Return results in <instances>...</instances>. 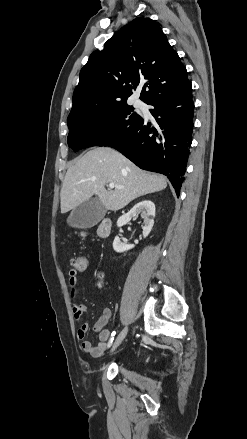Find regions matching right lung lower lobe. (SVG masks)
Here are the masks:
<instances>
[{
  "instance_id": "obj_1",
  "label": "right lung lower lobe",
  "mask_w": 247,
  "mask_h": 439,
  "mask_svg": "<svg viewBox=\"0 0 247 439\" xmlns=\"http://www.w3.org/2000/svg\"><path fill=\"white\" fill-rule=\"evenodd\" d=\"M147 104L154 107L150 112L155 121L142 118L108 146L138 167L166 175L179 196L194 127L192 85L161 94Z\"/></svg>"
}]
</instances>
